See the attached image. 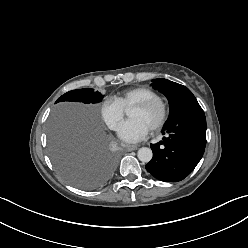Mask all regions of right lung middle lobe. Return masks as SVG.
Instances as JSON below:
<instances>
[{"instance_id": "dd1d6c3e", "label": "right lung middle lobe", "mask_w": 248, "mask_h": 248, "mask_svg": "<svg viewBox=\"0 0 248 248\" xmlns=\"http://www.w3.org/2000/svg\"><path fill=\"white\" fill-rule=\"evenodd\" d=\"M103 95L94 89H76L57 99V102L74 101L98 103ZM106 139L96 120L88 116L82 130L75 133L53 127L49 133V150L59 174L71 185L85 190L96 189L107 182L114 168V158L106 152Z\"/></svg>"}]
</instances>
